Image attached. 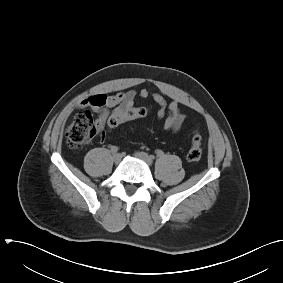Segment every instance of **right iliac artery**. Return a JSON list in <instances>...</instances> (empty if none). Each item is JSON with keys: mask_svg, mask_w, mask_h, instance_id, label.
Listing matches in <instances>:
<instances>
[{"mask_svg": "<svg viewBox=\"0 0 283 283\" xmlns=\"http://www.w3.org/2000/svg\"><path fill=\"white\" fill-rule=\"evenodd\" d=\"M119 151V148L117 146H112L111 147V152L112 153H117Z\"/></svg>", "mask_w": 283, "mask_h": 283, "instance_id": "right-iliac-artery-1", "label": "right iliac artery"}]
</instances>
